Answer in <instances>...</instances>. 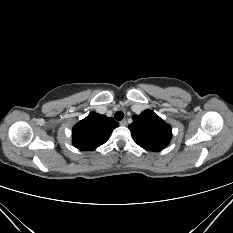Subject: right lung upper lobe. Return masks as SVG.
<instances>
[{
  "instance_id": "1",
  "label": "right lung upper lobe",
  "mask_w": 233,
  "mask_h": 233,
  "mask_svg": "<svg viewBox=\"0 0 233 233\" xmlns=\"http://www.w3.org/2000/svg\"><path fill=\"white\" fill-rule=\"evenodd\" d=\"M119 124L113 118L91 112L72 130L73 145L80 150H93L104 144Z\"/></svg>"
}]
</instances>
